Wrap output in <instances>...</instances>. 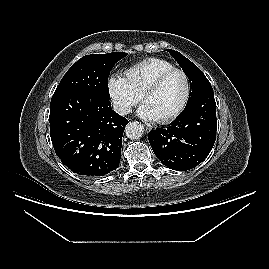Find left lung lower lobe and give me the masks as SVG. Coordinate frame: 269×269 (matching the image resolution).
Instances as JSON below:
<instances>
[{
    "mask_svg": "<svg viewBox=\"0 0 269 269\" xmlns=\"http://www.w3.org/2000/svg\"><path fill=\"white\" fill-rule=\"evenodd\" d=\"M216 131V102L212 90L188 103L167 128L152 130L148 139L162 164L185 171L208 156L215 143Z\"/></svg>",
    "mask_w": 269,
    "mask_h": 269,
    "instance_id": "1",
    "label": "left lung lower lobe"
}]
</instances>
